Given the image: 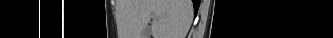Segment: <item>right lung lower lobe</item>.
<instances>
[{"instance_id": "1", "label": "right lung lower lobe", "mask_w": 333, "mask_h": 38, "mask_svg": "<svg viewBox=\"0 0 333 38\" xmlns=\"http://www.w3.org/2000/svg\"><path fill=\"white\" fill-rule=\"evenodd\" d=\"M193 1V4H194V9L196 11V4H199V1H196V0H192Z\"/></svg>"}]
</instances>
